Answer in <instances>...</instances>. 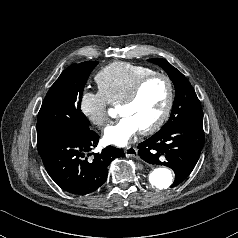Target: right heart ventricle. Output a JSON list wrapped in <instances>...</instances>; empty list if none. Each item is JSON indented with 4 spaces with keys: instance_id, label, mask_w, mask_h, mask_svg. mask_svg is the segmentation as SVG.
I'll list each match as a JSON object with an SVG mask.
<instances>
[{
    "instance_id": "right-heart-ventricle-1",
    "label": "right heart ventricle",
    "mask_w": 238,
    "mask_h": 238,
    "mask_svg": "<svg viewBox=\"0 0 238 238\" xmlns=\"http://www.w3.org/2000/svg\"><path fill=\"white\" fill-rule=\"evenodd\" d=\"M153 73L146 66L113 62L97 73L95 81L110 102H122L140 79Z\"/></svg>"
}]
</instances>
